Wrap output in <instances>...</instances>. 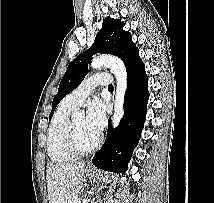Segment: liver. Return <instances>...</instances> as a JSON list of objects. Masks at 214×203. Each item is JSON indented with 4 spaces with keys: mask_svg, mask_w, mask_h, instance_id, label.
I'll return each instance as SVG.
<instances>
[{
    "mask_svg": "<svg viewBox=\"0 0 214 203\" xmlns=\"http://www.w3.org/2000/svg\"><path fill=\"white\" fill-rule=\"evenodd\" d=\"M85 163L52 164L46 170L49 203H69L83 184Z\"/></svg>",
    "mask_w": 214,
    "mask_h": 203,
    "instance_id": "liver-1",
    "label": "liver"
}]
</instances>
